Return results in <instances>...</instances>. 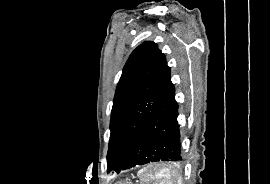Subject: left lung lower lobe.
<instances>
[{
	"mask_svg": "<svg viewBox=\"0 0 270 184\" xmlns=\"http://www.w3.org/2000/svg\"><path fill=\"white\" fill-rule=\"evenodd\" d=\"M178 104L172 85L165 98L130 148L122 166L115 173L151 162L182 160Z\"/></svg>",
	"mask_w": 270,
	"mask_h": 184,
	"instance_id": "0a47b994",
	"label": "left lung lower lobe"
}]
</instances>
